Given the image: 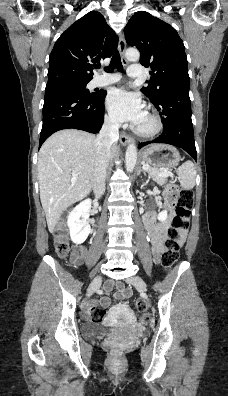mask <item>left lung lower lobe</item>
<instances>
[{"label":"left lung lower lobe","mask_w":228,"mask_h":396,"mask_svg":"<svg viewBox=\"0 0 228 396\" xmlns=\"http://www.w3.org/2000/svg\"><path fill=\"white\" fill-rule=\"evenodd\" d=\"M178 99L182 103L179 107L175 103ZM155 107L161 114L164 124L163 133L155 140L140 143L138 148L150 143H166L184 149L196 160L189 92H169Z\"/></svg>","instance_id":"left-lung-lower-lobe-1"}]
</instances>
